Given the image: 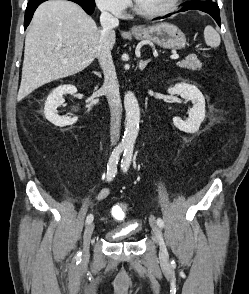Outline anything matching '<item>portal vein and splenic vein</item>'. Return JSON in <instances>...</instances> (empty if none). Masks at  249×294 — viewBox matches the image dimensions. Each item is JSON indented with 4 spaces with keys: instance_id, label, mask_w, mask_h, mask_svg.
Listing matches in <instances>:
<instances>
[{
    "instance_id": "obj_1",
    "label": "portal vein and splenic vein",
    "mask_w": 249,
    "mask_h": 294,
    "mask_svg": "<svg viewBox=\"0 0 249 294\" xmlns=\"http://www.w3.org/2000/svg\"><path fill=\"white\" fill-rule=\"evenodd\" d=\"M171 59L177 60V59H179V55H177V54L172 55V56H171Z\"/></svg>"
}]
</instances>
